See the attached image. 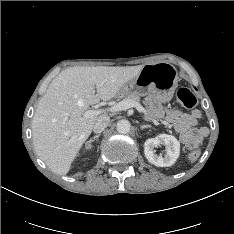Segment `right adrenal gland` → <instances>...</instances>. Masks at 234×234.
<instances>
[{
	"label": "right adrenal gland",
	"instance_id": "right-adrenal-gland-1",
	"mask_svg": "<svg viewBox=\"0 0 234 234\" xmlns=\"http://www.w3.org/2000/svg\"><path fill=\"white\" fill-rule=\"evenodd\" d=\"M101 136V134H97L95 136H93L89 141L86 142L87 143H92V141H94L95 139H98Z\"/></svg>",
	"mask_w": 234,
	"mask_h": 234
}]
</instances>
